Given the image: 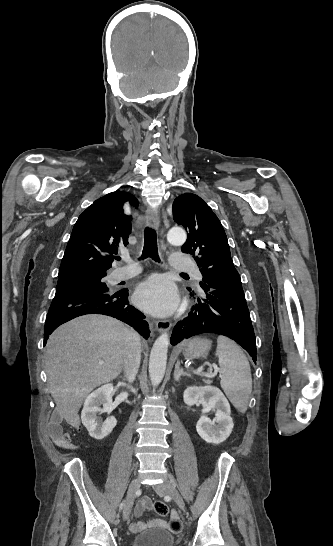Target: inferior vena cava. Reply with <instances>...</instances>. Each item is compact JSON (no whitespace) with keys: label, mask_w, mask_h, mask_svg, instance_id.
<instances>
[{"label":"inferior vena cava","mask_w":333,"mask_h":546,"mask_svg":"<svg viewBox=\"0 0 333 546\" xmlns=\"http://www.w3.org/2000/svg\"><path fill=\"white\" fill-rule=\"evenodd\" d=\"M126 344L124 373L127 380L132 383L135 380L141 360V342L139 335L133 330H129L126 335Z\"/></svg>","instance_id":"obj_1"}]
</instances>
